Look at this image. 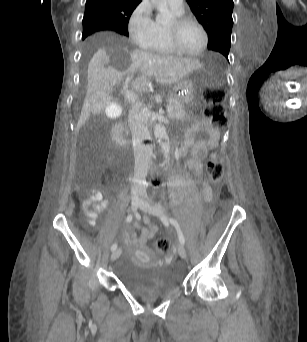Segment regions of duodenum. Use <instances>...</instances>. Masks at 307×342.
I'll return each mask as SVG.
<instances>
[{
    "label": "duodenum",
    "instance_id": "obj_1",
    "mask_svg": "<svg viewBox=\"0 0 307 342\" xmlns=\"http://www.w3.org/2000/svg\"><path fill=\"white\" fill-rule=\"evenodd\" d=\"M112 137L115 143L120 147V148H125L127 145L125 136H124V130L123 126L121 124H117L113 127L112 130Z\"/></svg>",
    "mask_w": 307,
    "mask_h": 342
}]
</instances>
